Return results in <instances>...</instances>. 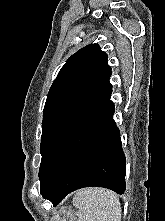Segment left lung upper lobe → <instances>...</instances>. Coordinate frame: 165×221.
<instances>
[{
    "label": "left lung upper lobe",
    "mask_w": 165,
    "mask_h": 221,
    "mask_svg": "<svg viewBox=\"0 0 165 221\" xmlns=\"http://www.w3.org/2000/svg\"><path fill=\"white\" fill-rule=\"evenodd\" d=\"M107 54L90 44L73 54L54 80L44 107L39 176L52 150L112 88Z\"/></svg>",
    "instance_id": "1"
}]
</instances>
